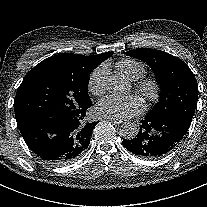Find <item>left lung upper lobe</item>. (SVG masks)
<instances>
[{"label":"left lung upper lobe","instance_id":"1","mask_svg":"<svg viewBox=\"0 0 207 207\" xmlns=\"http://www.w3.org/2000/svg\"><path fill=\"white\" fill-rule=\"evenodd\" d=\"M126 54L146 62L160 84L161 99L147 115L175 116L190 125L197 105L198 85L188 65L181 59L156 49H136Z\"/></svg>","mask_w":207,"mask_h":207}]
</instances>
